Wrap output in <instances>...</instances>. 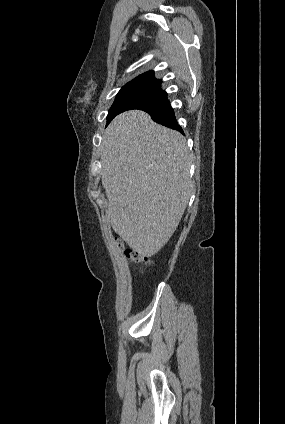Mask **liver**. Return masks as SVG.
<instances>
[{
  "instance_id": "obj_1",
  "label": "liver",
  "mask_w": 285,
  "mask_h": 424,
  "mask_svg": "<svg viewBox=\"0 0 285 424\" xmlns=\"http://www.w3.org/2000/svg\"><path fill=\"white\" fill-rule=\"evenodd\" d=\"M100 159L113 230L139 255H155L177 229L191 195L186 139L143 111H127L103 133Z\"/></svg>"
}]
</instances>
